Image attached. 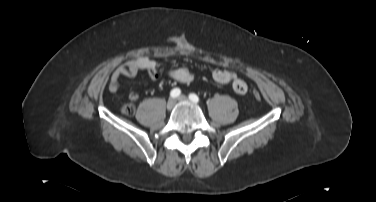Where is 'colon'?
<instances>
[{
    "label": "colon",
    "instance_id": "5ec220e1",
    "mask_svg": "<svg viewBox=\"0 0 376 202\" xmlns=\"http://www.w3.org/2000/svg\"><path fill=\"white\" fill-rule=\"evenodd\" d=\"M254 97L259 100L261 98L260 94L258 92H255L254 93ZM134 105L133 103L131 102H128V103H125L122 107V112L125 114V115H132L134 113Z\"/></svg>",
    "mask_w": 376,
    "mask_h": 202
}]
</instances>
